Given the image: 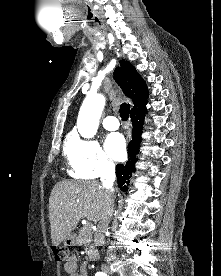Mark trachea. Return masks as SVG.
Wrapping results in <instances>:
<instances>
[{
    "instance_id": "trachea-1",
    "label": "trachea",
    "mask_w": 221,
    "mask_h": 276,
    "mask_svg": "<svg viewBox=\"0 0 221 276\" xmlns=\"http://www.w3.org/2000/svg\"><path fill=\"white\" fill-rule=\"evenodd\" d=\"M130 106L127 103H123L120 106L119 113L123 121H127L129 117Z\"/></svg>"
}]
</instances>
